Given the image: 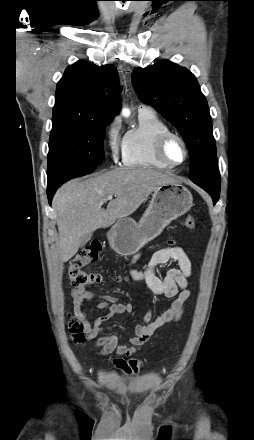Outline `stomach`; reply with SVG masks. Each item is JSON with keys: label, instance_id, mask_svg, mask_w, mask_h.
I'll return each instance as SVG.
<instances>
[{"label": "stomach", "instance_id": "0dacf381", "mask_svg": "<svg viewBox=\"0 0 254 440\" xmlns=\"http://www.w3.org/2000/svg\"><path fill=\"white\" fill-rule=\"evenodd\" d=\"M192 205V194L180 183L160 185L139 222L124 217L108 231L109 244L120 255H133L160 235L172 220L187 213Z\"/></svg>", "mask_w": 254, "mask_h": 440}]
</instances>
